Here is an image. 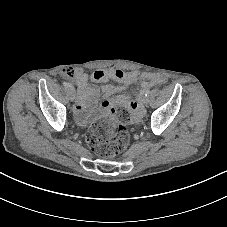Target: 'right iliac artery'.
<instances>
[{
  "instance_id": "right-iliac-artery-1",
  "label": "right iliac artery",
  "mask_w": 227,
  "mask_h": 227,
  "mask_svg": "<svg viewBox=\"0 0 227 227\" xmlns=\"http://www.w3.org/2000/svg\"><path fill=\"white\" fill-rule=\"evenodd\" d=\"M63 85H64L65 87L70 88V89L74 88L73 85L70 84V83H68V82H63Z\"/></svg>"
}]
</instances>
